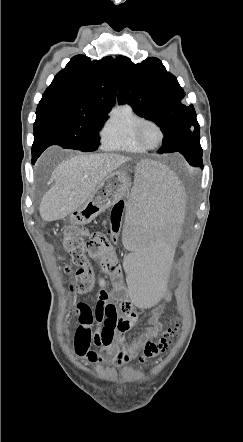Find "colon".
Wrapping results in <instances>:
<instances>
[{
    "label": "colon",
    "mask_w": 243,
    "mask_h": 442,
    "mask_svg": "<svg viewBox=\"0 0 243 442\" xmlns=\"http://www.w3.org/2000/svg\"><path fill=\"white\" fill-rule=\"evenodd\" d=\"M125 203L123 200L117 201L111 211L108 222V231L112 241H115L121 229ZM88 231L76 224L69 225L63 234L62 247L71 257L73 264L77 267L74 272L72 289L79 294L91 292L98 284L89 260L88 253L93 244L86 240ZM179 324L175 323L168 328L163 335L156 341H149L145 344L143 357L136 359L138 366H145L147 359L154 358L164 353L172 344V339L178 334Z\"/></svg>",
    "instance_id": "colon-1"
}]
</instances>
